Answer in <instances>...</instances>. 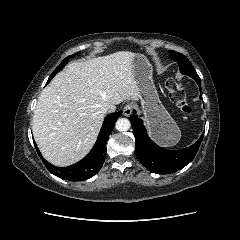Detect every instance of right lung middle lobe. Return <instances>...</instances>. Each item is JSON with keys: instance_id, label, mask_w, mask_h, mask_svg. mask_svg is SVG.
Here are the masks:
<instances>
[{"instance_id": "1", "label": "right lung middle lobe", "mask_w": 240, "mask_h": 240, "mask_svg": "<svg viewBox=\"0 0 240 240\" xmlns=\"http://www.w3.org/2000/svg\"><path fill=\"white\" fill-rule=\"evenodd\" d=\"M73 56H75V54L66 57V58L62 61V63H61V64L54 70V72L51 74V76H50L49 79H48V82L51 81V79L55 76L56 73H58L59 71L62 70L63 67H65V65L67 64V60H68L69 58H72Z\"/></svg>"}]
</instances>
